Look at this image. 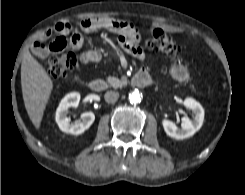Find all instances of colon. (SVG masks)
Wrapping results in <instances>:
<instances>
[{
  "instance_id": "1",
  "label": "colon",
  "mask_w": 245,
  "mask_h": 195,
  "mask_svg": "<svg viewBox=\"0 0 245 195\" xmlns=\"http://www.w3.org/2000/svg\"><path fill=\"white\" fill-rule=\"evenodd\" d=\"M148 49L162 52L171 60L179 59V47L173 39L163 31L156 29L147 40ZM78 60L74 53H67L59 57H52L46 61V71L52 78H75Z\"/></svg>"
}]
</instances>
